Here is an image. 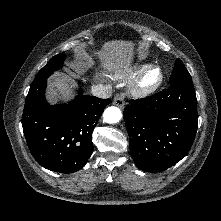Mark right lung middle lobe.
<instances>
[{
	"mask_svg": "<svg viewBox=\"0 0 221 221\" xmlns=\"http://www.w3.org/2000/svg\"><path fill=\"white\" fill-rule=\"evenodd\" d=\"M65 59V53L54 56L36 75L33 83H37L44 78H47L54 71L62 67V63Z\"/></svg>",
	"mask_w": 221,
	"mask_h": 221,
	"instance_id": "dd1d6c3e",
	"label": "right lung middle lobe"
}]
</instances>
